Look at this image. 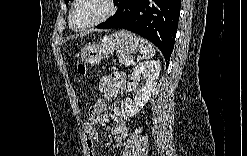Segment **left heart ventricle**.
<instances>
[{
  "label": "left heart ventricle",
  "mask_w": 247,
  "mask_h": 156,
  "mask_svg": "<svg viewBox=\"0 0 247 156\" xmlns=\"http://www.w3.org/2000/svg\"><path fill=\"white\" fill-rule=\"evenodd\" d=\"M106 12V6L101 0H85L78 4L73 15L77 26L86 25L101 17Z\"/></svg>",
  "instance_id": "left-heart-ventricle-1"
}]
</instances>
